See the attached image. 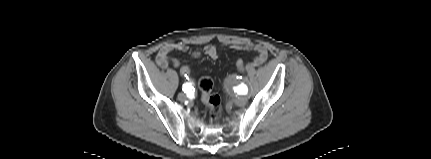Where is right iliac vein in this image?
<instances>
[{
    "mask_svg": "<svg viewBox=\"0 0 431 159\" xmlns=\"http://www.w3.org/2000/svg\"><path fill=\"white\" fill-rule=\"evenodd\" d=\"M186 98H187V96H186L185 93L181 92V93L178 94V99L180 101H184V100H186Z\"/></svg>",
    "mask_w": 431,
    "mask_h": 159,
    "instance_id": "1",
    "label": "right iliac vein"
}]
</instances>
